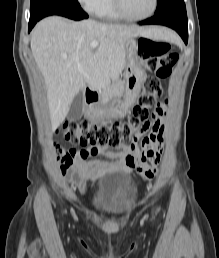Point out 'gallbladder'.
<instances>
[{
	"instance_id": "obj_1",
	"label": "gallbladder",
	"mask_w": 219,
	"mask_h": 258,
	"mask_svg": "<svg viewBox=\"0 0 219 258\" xmlns=\"http://www.w3.org/2000/svg\"><path fill=\"white\" fill-rule=\"evenodd\" d=\"M83 109H84V103H83V96L82 93L79 92L72 100L69 111L67 114V119L70 121H77L81 119L83 116Z\"/></svg>"
}]
</instances>
